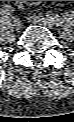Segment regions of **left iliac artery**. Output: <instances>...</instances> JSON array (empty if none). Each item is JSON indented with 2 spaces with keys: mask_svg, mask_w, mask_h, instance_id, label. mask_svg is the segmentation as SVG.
Masks as SVG:
<instances>
[{
  "mask_svg": "<svg viewBox=\"0 0 74 122\" xmlns=\"http://www.w3.org/2000/svg\"><path fill=\"white\" fill-rule=\"evenodd\" d=\"M49 20L52 21L54 24H59L60 18L56 14L49 15Z\"/></svg>",
  "mask_w": 74,
  "mask_h": 122,
  "instance_id": "44dca946",
  "label": "left iliac artery"
}]
</instances>
